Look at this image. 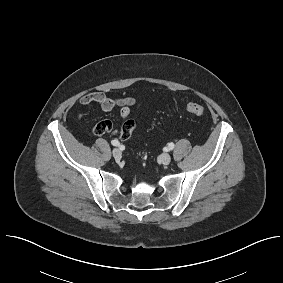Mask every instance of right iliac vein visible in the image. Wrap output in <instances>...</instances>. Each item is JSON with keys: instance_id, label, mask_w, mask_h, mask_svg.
Wrapping results in <instances>:
<instances>
[{"instance_id": "1", "label": "right iliac vein", "mask_w": 283, "mask_h": 283, "mask_svg": "<svg viewBox=\"0 0 283 283\" xmlns=\"http://www.w3.org/2000/svg\"><path fill=\"white\" fill-rule=\"evenodd\" d=\"M112 154H113V157L116 159V160H120L121 159V151L118 149V148H114L113 151H112Z\"/></svg>"}]
</instances>
